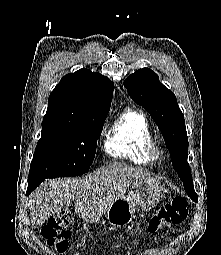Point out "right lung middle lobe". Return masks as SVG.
Wrapping results in <instances>:
<instances>
[{
    "label": "right lung middle lobe",
    "instance_id": "dd1d6c3e",
    "mask_svg": "<svg viewBox=\"0 0 221 255\" xmlns=\"http://www.w3.org/2000/svg\"><path fill=\"white\" fill-rule=\"evenodd\" d=\"M109 111L88 122L46 120L30 166L29 178H56L86 173L93 163L97 139Z\"/></svg>",
    "mask_w": 221,
    "mask_h": 255
}]
</instances>
